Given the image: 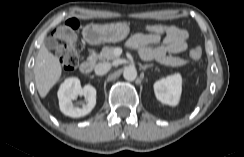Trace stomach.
I'll use <instances>...</instances> for the list:
<instances>
[{
  "label": "stomach",
  "mask_w": 244,
  "mask_h": 157,
  "mask_svg": "<svg viewBox=\"0 0 244 157\" xmlns=\"http://www.w3.org/2000/svg\"><path fill=\"white\" fill-rule=\"evenodd\" d=\"M130 32V27L125 22L110 24H89L83 29L85 40L93 45L104 42L116 43L124 40Z\"/></svg>",
  "instance_id": "obj_1"
}]
</instances>
